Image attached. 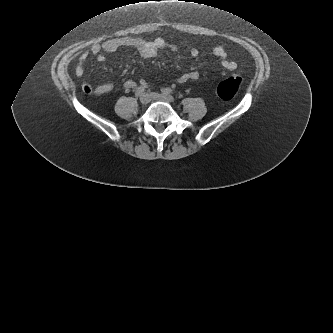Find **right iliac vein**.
I'll return each mask as SVG.
<instances>
[{
    "label": "right iliac vein",
    "mask_w": 333,
    "mask_h": 333,
    "mask_svg": "<svg viewBox=\"0 0 333 333\" xmlns=\"http://www.w3.org/2000/svg\"><path fill=\"white\" fill-rule=\"evenodd\" d=\"M151 101V96L148 93H144L140 97V102L143 105L148 104Z\"/></svg>",
    "instance_id": "obj_1"
}]
</instances>
